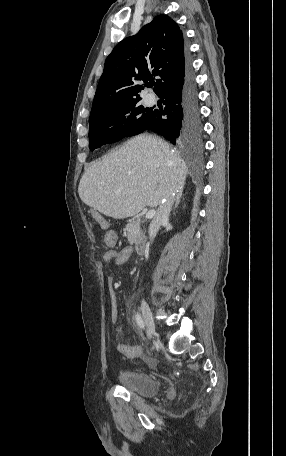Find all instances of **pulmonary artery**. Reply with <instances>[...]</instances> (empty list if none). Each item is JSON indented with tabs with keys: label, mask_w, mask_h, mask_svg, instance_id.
<instances>
[{
	"label": "pulmonary artery",
	"mask_w": 286,
	"mask_h": 456,
	"mask_svg": "<svg viewBox=\"0 0 286 456\" xmlns=\"http://www.w3.org/2000/svg\"><path fill=\"white\" fill-rule=\"evenodd\" d=\"M147 102H148V104H150V105L153 104V103H154V97L149 96Z\"/></svg>",
	"instance_id": "e3ab8cb5"
}]
</instances>
